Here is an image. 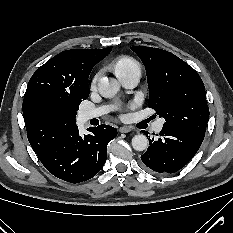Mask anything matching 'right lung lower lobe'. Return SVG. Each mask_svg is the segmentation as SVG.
Here are the masks:
<instances>
[{
	"label": "right lung lower lobe",
	"instance_id": "98d812e1",
	"mask_svg": "<svg viewBox=\"0 0 233 233\" xmlns=\"http://www.w3.org/2000/svg\"><path fill=\"white\" fill-rule=\"evenodd\" d=\"M81 136L77 125L55 137L37 156L54 176L79 183L95 176L104 166L107 145L117 136V130L101 124Z\"/></svg>",
	"mask_w": 233,
	"mask_h": 233
}]
</instances>
